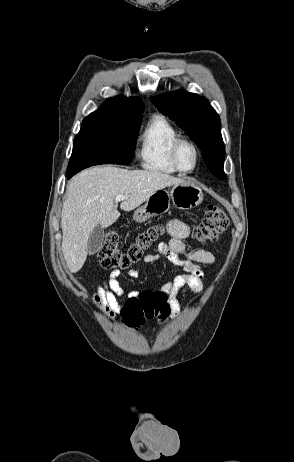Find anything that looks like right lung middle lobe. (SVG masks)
Masks as SVG:
<instances>
[{
	"mask_svg": "<svg viewBox=\"0 0 294 462\" xmlns=\"http://www.w3.org/2000/svg\"><path fill=\"white\" fill-rule=\"evenodd\" d=\"M141 126V115L125 117L92 113L83 122L74 139L67 175L99 164L125 165L133 159L135 135Z\"/></svg>",
	"mask_w": 294,
	"mask_h": 462,
	"instance_id": "right-lung-middle-lobe-1",
	"label": "right lung middle lobe"
}]
</instances>
